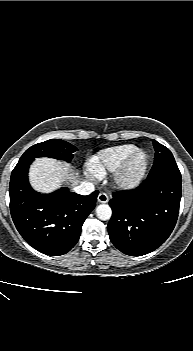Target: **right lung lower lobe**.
<instances>
[{"label": "right lung lower lobe", "instance_id": "1", "mask_svg": "<svg viewBox=\"0 0 193 351\" xmlns=\"http://www.w3.org/2000/svg\"><path fill=\"white\" fill-rule=\"evenodd\" d=\"M33 160L20 158L12 171L9 186L12 219L33 248L51 256L63 255L79 240L82 225L95 207L98 191L81 196L61 188L51 194H40L28 182Z\"/></svg>", "mask_w": 193, "mask_h": 351}]
</instances>
